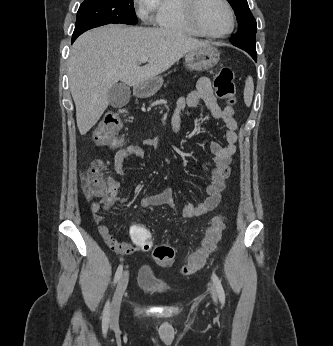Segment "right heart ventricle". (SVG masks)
<instances>
[{"instance_id": "obj_1", "label": "right heart ventricle", "mask_w": 333, "mask_h": 346, "mask_svg": "<svg viewBox=\"0 0 333 346\" xmlns=\"http://www.w3.org/2000/svg\"><path fill=\"white\" fill-rule=\"evenodd\" d=\"M155 23L165 30L198 35L185 16L181 0H160L155 15Z\"/></svg>"}]
</instances>
